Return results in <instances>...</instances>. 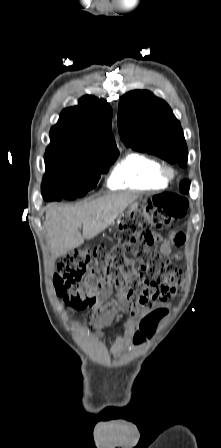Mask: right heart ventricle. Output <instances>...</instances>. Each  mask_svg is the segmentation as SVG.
<instances>
[{
	"label": "right heart ventricle",
	"mask_w": 221,
	"mask_h": 448,
	"mask_svg": "<svg viewBox=\"0 0 221 448\" xmlns=\"http://www.w3.org/2000/svg\"><path fill=\"white\" fill-rule=\"evenodd\" d=\"M160 168L157 159L133 152L116 165L107 184L111 189H164L167 183L160 177Z\"/></svg>",
	"instance_id": "obj_1"
}]
</instances>
